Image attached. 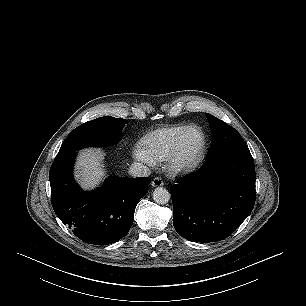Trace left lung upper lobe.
Returning <instances> with one entry per match:
<instances>
[{"label": "left lung upper lobe", "mask_w": 306, "mask_h": 306, "mask_svg": "<svg viewBox=\"0 0 306 306\" xmlns=\"http://www.w3.org/2000/svg\"><path fill=\"white\" fill-rule=\"evenodd\" d=\"M206 116L212 130V147L209 157L223 152L248 149L237 130L211 114L206 113Z\"/></svg>", "instance_id": "obj_1"}]
</instances>
